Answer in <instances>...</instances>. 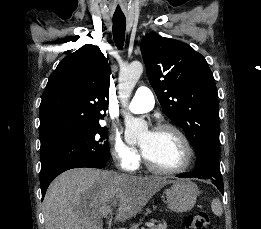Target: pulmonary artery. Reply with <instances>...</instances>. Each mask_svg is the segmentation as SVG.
<instances>
[{
	"instance_id": "obj_1",
	"label": "pulmonary artery",
	"mask_w": 261,
	"mask_h": 229,
	"mask_svg": "<svg viewBox=\"0 0 261 229\" xmlns=\"http://www.w3.org/2000/svg\"><path fill=\"white\" fill-rule=\"evenodd\" d=\"M154 105L155 97L151 89L140 87L135 92L134 100L129 106V110L132 113L140 114L151 111Z\"/></svg>"
}]
</instances>
